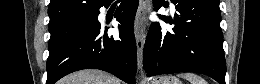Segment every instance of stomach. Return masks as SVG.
I'll use <instances>...</instances> for the list:
<instances>
[{
  "mask_svg": "<svg viewBox=\"0 0 260 84\" xmlns=\"http://www.w3.org/2000/svg\"><path fill=\"white\" fill-rule=\"evenodd\" d=\"M151 84H182V82L175 76L165 75L154 79Z\"/></svg>",
  "mask_w": 260,
  "mask_h": 84,
  "instance_id": "1",
  "label": "stomach"
}]
</instances>
